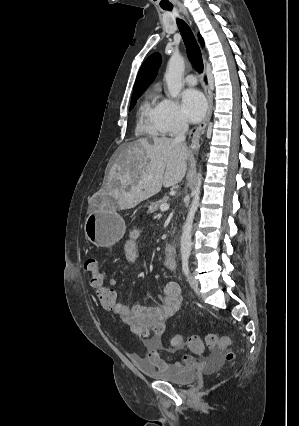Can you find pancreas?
Returning <instances> with one entry per match:
<instances>
[{"label": "pancreas", "instance_id": "pancreas-1", "mask_svg": "<svg viewBox=\"0 0 299 426\" xmlns=\"http://www.w3.org/2000/svg\"><path fill=\"white\" fill-rule=\"evenodd\" d=\"M167 202V198L163 197L158 201L152 202L151 205L149 206L148 212L149 213H155L156 211H158L159 207L161 204L166 203Z\"/></svg>", "mask_w": 299, "mask_h": 426}]
</instances>
